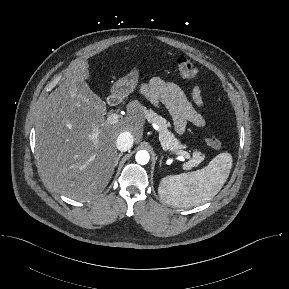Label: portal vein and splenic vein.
<instances>
[{"label":"portal vein and splenic vein","instance_id":"1","mask_svg":"<svg viewBox=\"0 0 289 289\" xmlns=\"http://www.w3.org/2000/svg\"><path fill=\"white\" fill-rule=\"evenodd\" d=\"M120 115L117 113H112L108 116L107 121L109 124H116L119 122ZM164 149V148H163ZM176 154L180 155V160L190 159V154L186 151H178Z\"/></svg>","mask_w":289,"mask_h":289}]
</instances>
